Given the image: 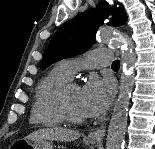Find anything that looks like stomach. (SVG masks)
Segmentation results:
<instances>
[{"label":"stomach","mask_w":155,"mask_h":149,"mask_svg":"<svg viewBox=\"0 0 155 149\" xmlns=\"http://www.w3.org/2000/svg\"><path fill=\"white\" fill-rule=\"evenodd\" d=\"M13 149H53L47 139H19L12 144Z\"/></svg>","instance_id":"0dacf381"}]
</instances>
